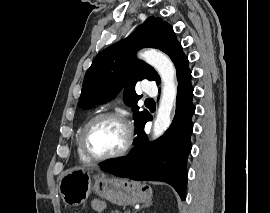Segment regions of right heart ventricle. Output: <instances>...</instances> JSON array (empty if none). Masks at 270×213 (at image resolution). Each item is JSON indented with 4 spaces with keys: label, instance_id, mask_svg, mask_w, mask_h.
Returning a JSON list of instances; mask_svg holds the SVG:
<instances>
[{
    "label": "right heart ventricle",
    "instance_id": "1",
    "mask_svg": "<svg viewBox=\"0 0 270 213\" xmlns=\"http://www.w3.org/2000/svg\"><path fill=\"white\" fill-rule=\"evenodd\" d=\"M82 128L83 127L80 128V130L78 131L77 136H76V151H77V155H78L80 161H82L83 163H88L91 161L89 159H87V157L83 154V152L81 150V145H80V136H81Z\"/></svg>",
    "mask_w": 270,
    "mask_h": 213
}]
</instances>
